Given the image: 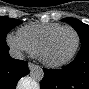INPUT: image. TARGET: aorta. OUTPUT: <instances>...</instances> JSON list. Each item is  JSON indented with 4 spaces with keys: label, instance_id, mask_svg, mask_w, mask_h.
<instances>
[{
    "label": "aorta",
    "instance_id": "762f6f07",
    "mask_svg": "<svg viewBox=\"0 0 89 89\" xmlns=\"http://www.w3.org/2000/svg\"><path fill=\"white\" fill-rule=\"evenodd\" d=\"M30 77L34 81H41L44 77V71L41 67L35 65L30 69Z\"/></svg>",
    "mask_w": 89,
    "mask_h": 89
}]
</instances>
